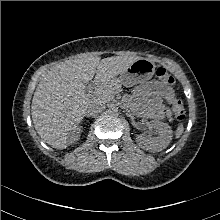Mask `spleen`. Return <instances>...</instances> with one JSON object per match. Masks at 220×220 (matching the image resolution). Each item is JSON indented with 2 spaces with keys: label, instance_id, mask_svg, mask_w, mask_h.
Returning <instances> with one entry per match:
<instances>
[{
  "label": "spleen",
  "instance_id": "1",
  "mask_svg": "<svg viewBox=\"0 0 220 220\" xmlns=\"http://www.w3.org/2000/svg\"><path fill=\"white\" fill-rule=\"evenodd\" d=\"M184 130L183 124H180L175 132V138H180Z\"/></svg>",
  "mask_w": 220,
  "mask_h": 220
}]
</instances>
